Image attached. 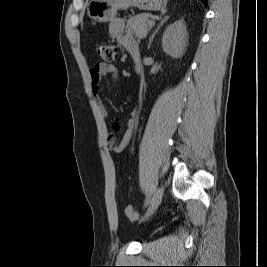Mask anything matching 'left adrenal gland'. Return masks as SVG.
<instances>
[{
	"label": "left adrenal gland",
	"instance_id": "1",
	"mask_svg": "<svg viewBox=\"0 0 267 267\" xmlns=\"http://www.w3.org/2000/svg\"><path fill=\"white\" fill-rule=\"evenodd\" d=\"M169 19V16H164L161 20L160 23L157 25L156 29L154 30V32L152 33V35L149 38V43H148V49H150V46L152 44V41L155 37V35L157 34V32L159 31V29L163 26V24Z\"/></svg>",
	"mask_w": 267,
	"mask_h": 267
}]
</instances>
